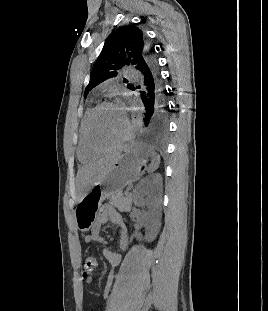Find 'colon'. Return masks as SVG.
Returning <instances> with one entry per match:
<instances>
[{
	"instance_id": "colon-1",
	"label": "colon",
	"mask_w": 268,
	"mask_h": 311,
	"mask_svg": "<svg viewBox=\"0 0 268 311\" xmlns=\"http://www.w3.org/2000/svg\"><path fill=\"white\" fill-rule=\"evenodd\" d=\"M97 266V260L95 257H87L84 260L83 269H84V276L91 274Z\"/></svg>"
}]
</instances>
